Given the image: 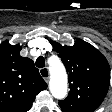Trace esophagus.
Instances as JSON below:
<instances>
[{
	"mask_svg": "<svg viewBox=\"0 0 112 112\" xmlns=\"http://www.w3.org/2000/svg\"><path fill=\"white\" fill-rule=\"evenodd\" d=\"M40 75L43 77V79L48 83L49 82V70L48 68H41L39 70Z\"/></svg>",
	"mask_w": 112,
	"mask_h": 112,
	"instance_id": "34e87169",
	"label": "esophagus"
}]
</instances>
